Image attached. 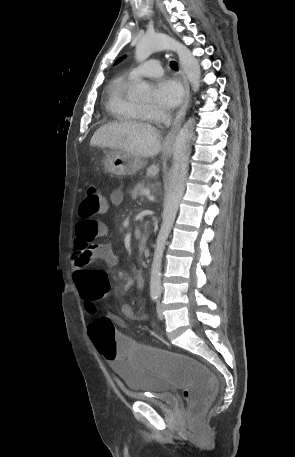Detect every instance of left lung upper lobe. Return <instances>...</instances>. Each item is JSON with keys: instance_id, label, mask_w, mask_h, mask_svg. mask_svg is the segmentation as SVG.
<instances>
[{"instance_id": "1", "label": "left lung upper lobe", "mask_w": 295, "mask_h": 457, "mask_svg": "<svg viewBox=\"0 0 295 457\" xmlns=\"http://www.w3.org/2000/svg\"><path fill=\"white\" fill-rule=\"evenodd\" d=\"M121 60H122V58H121V59H119V60L116 62V64H117L118 62H120Z\"/></svg>"}]
</instances>
